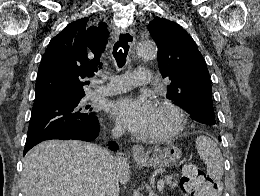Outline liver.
Listing matches in <instances>:
<instances>
[{"label": "liver", "instance_id": "6515ba94", "mask_svg": "<svg viewBox=\"0 0 260 196\" xmlns=\"http://www.w3.org/2000/svg\"><path fill=\"white\" fill-rule=\"evenodd\" d=\"M110 152L79 140H47L32 148L24 158V196H105ZM117 180L127 184L130 166L122 156L115 166Z\"/></svg>", "mask_w": 260, "mask_h": 196}]
</instances>
